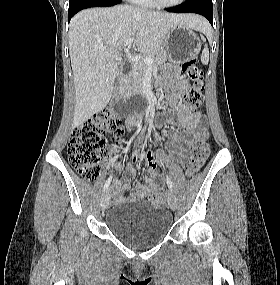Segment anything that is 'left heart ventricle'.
I'll use <instances>...</instances> for the list:
<instances>
[{
    "label": "left heart ventricle",
    "instance_id": "obj_1",
    "mask_svg": "<svg viewBox=\"0 0 280 285\" xmlns=\"http://www.w3.org/2000/svg\"><path fill=\"white\" fill-rule=\"evenodd\" d=\"M162 3H167V4H169V3H173V2H175V1H177V0H160Z\"/></svg>",
    "mask_w": 280,
    "mask_h": 285
}]
</instances>
